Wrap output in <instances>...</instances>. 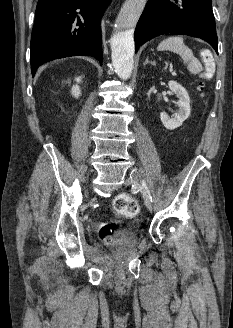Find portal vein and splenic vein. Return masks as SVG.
<instances>
[{
  "mask_svg": "<svg viewBox=\"0 0 233 328\" xmlns=\"http://www.w3.org/2000/svg\"><path fill=\"white\" fill-rule=\"evenodd\" d=\"M170 72L172 73V75H176L175 71H172V70H171Z\"/></svg>",
  "mask_w": 233,
  "mask_h": 328,
  "instance_id": "portal-vein-and-splenic-vein-1",
  "label": "portal vein and splenic vein"
}]
</instances>
